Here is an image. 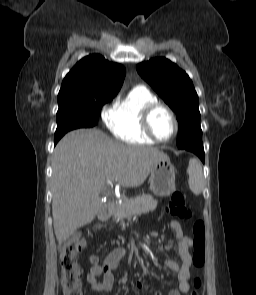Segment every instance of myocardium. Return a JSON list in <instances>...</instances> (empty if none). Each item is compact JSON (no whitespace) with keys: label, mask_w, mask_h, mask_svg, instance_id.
Listing matches in <instances>:
<instances>
[{"label":"myocardium","mask_w":256,"mask_h":295,"mask_svg":"<svg viewBox=\"0 0 256 295\" xmlns=\"http://www.w3.org/2000/svg\"><path fill=\"white\" fill-rule=\"evenodd\" d=\"M158 109H163L165 110L170 117L172 118L173 124H174V131L172 136L169 139L163 140L160 139L156 136V134L154 133L153 129H152V124H151V119H152V115L153 113L158 110ZM142 128L144 130V132L156 143H160V144H166L169 143L170 141H172L179 130V122L177 119V116L175 114V112L166 104H163L161 102H154L150 105H148L142 113Z\"/></svg>","instance_id":"obj_1"}]
</instances>
